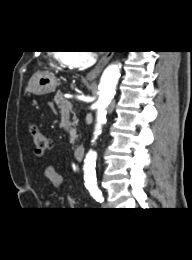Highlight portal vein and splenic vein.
I'll use <instances>...</instances> for the list:
<instances>
[{"label":"portal vein and splenic vein","instance_id":"18ae733b","mask_svg":"<svg viewBox=\"0 0 192 260\" xmlns=\"http://www.w3.org/2000/svg\"><path fill=\"white\" fill-rule=\"evenodd\" d=\"M71 109H72V104H71V102L67 101L66 110H71Z\"/></svg>","mask_w":192,"mask_h":260}]
</instances>
